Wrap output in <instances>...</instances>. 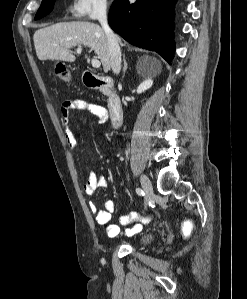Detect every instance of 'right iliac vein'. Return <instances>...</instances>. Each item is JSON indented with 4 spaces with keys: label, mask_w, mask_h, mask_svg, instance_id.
Returning a JSON list of instances; mask_svg holds the SVG:
<instances>
[{
    "label": "right iliac vein",
    "mask_w": 247,
    "mask_h": 299,
    "mask_svg": "<svg viewBox=\"0 0 247 299\" xmlns=\"http://www.w3.org/2000/svg\"><path fill=\"white\" fill-rule=\"evenodd\" d=\"M141 184L146 194V205L153 199V187L146 175L141 176Z\"/></svg>",
    "instance_id": "63e3f726"
}]
</instances>
